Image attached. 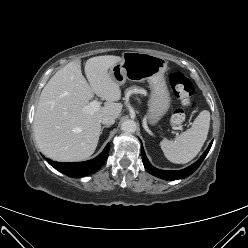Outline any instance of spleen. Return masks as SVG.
Instances as JSON below:
<instances>
[{"label": "spleen", "instance_id": "obj_1", "mask_svg": "<svg viewBox=\"0 0 248 248\" xmlns=\"http://www.w3.org/2000/svg\"><path fill=\"white\" fill-rule=\"evenodd\" d=\"M210 126V112L203 110L194 120L192 127L174 140L160 142L165 157L172 163L185 164L191 161L203 147Z\"/></svg>", "mask_w": 248, "mask_h": 248}]
</instances>
